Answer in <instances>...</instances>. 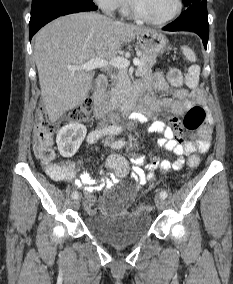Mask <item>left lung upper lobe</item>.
<instances>
[{
  "instance_id": "1",
  "label": "left lung upper lobe",
  "mask_w": 233,
  "mask_h": 284,
  "mask_svg": "<svg viewBox=\"0 0 233 284\" xmlns=\"http://www.w3.org/2000/svg\"><path fill=\"white\" fill-rule=\"evenodd\" d=\"M200 1H204V0H183L184 2V6L189 7L195 3H198Z\"/></svg>"
}]
</instances>
